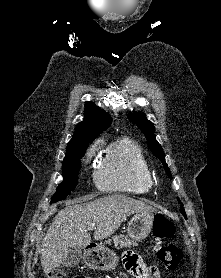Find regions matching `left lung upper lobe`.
<instances>
[{"label": "left lung upper lobe", "instance_id": "1", "mask_svg": "<svg viewBox=\"0 0 221 278\" xmlns=\"http://www.w3.org/2000/svg\"><path fill=\"white\" fill-rule=\"evenodd\" d=\"M129 118L132 120L133 123L137 125V127L145 134V137L147 139V144L150 150L153 152L155 156H157L160 160L163 161L164 169L168 176L171 178V173L168 168V165L165 162V154L163 152L162 147L157 142L155 138V128L153 123H151L143 113H135L130 114ZM179 203H181L179 201ZM181 213L186 217L185 210L183 207H181Z\"/></svg>", "mask_w": 221, "mask_h": 278}]
</instances>
